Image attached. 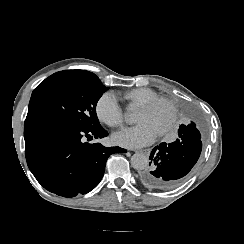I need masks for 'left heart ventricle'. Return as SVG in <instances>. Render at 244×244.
Here are the masks:
<instances>
[{
    "label": "left heart ventricle",
    "mask_w": 244,
    "mask_h": 244,
    "mask_svg": "<svg viewBox=\"0 0 244 244\" xmlns=\"http://www.w3.org/2000/svg\"><path fill=\"white\" fill-rule=\"evenodd\" d=\"M169 106L160 104L157 109L144 111L135 109V122L150 126L158 135H161L169 124Z\"/></svg>",
    "instance_id": "1"
}]
</instances>
